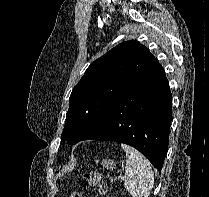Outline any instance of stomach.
I'll use <instances>...</instances> for the list:
<instances>
[{
	"label": "stomach",
	"instance_id": "1",
	"mask_svg": "<svg viewBox=\"0 0 209 197\" xmlns=\"http://www.w3.org/2000/svg\"><path fill=\"white\" fill-rule=\"evenodd\" d=\"M115 165L116 163L114 162V160L111 159H105L102 162V166L107 169H112Z\"/></svg>",
	"mask_w": 209,
	"mask_h": 197
}]
</instances>
